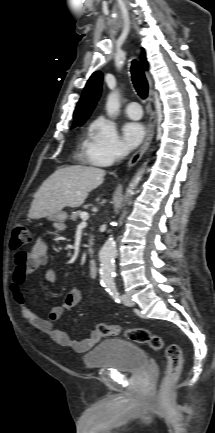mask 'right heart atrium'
I'll list each match as a JSON object with an SVG mask.
<instances>
[{"label": "right heart atrium", "mask_w": 215, "mask_h": 433, "mask_svg": "<svg viewBox=\"0 0 215 433\" xmlns=\"http://www.w3.org/2000/svg\"><path fill=\"white\" fill-rule=\"evenodd\" d=\"M84 150L90 163L102 167L113 164L126 154L115 124L103 116L92 122Z\"/></svg>", "instance_id": "right-heart-atrium-1"}]
</instances>
